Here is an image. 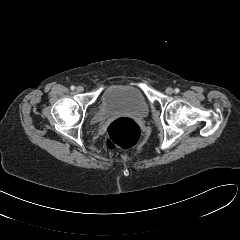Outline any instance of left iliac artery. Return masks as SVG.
Returning <instances> with one entry per match:
<instances>
[{"mask_svg": "<svg viewBox=\"0 0 240 240\" xmlns=\"http://www.w3.org/2000/svg\"><path fill=\"white\" fill-rule=\"evenodd\" d=\"M174 92H175L176 94H178V93L180 92V90H179L178 88H176V89L174 90Z\"/></svg>", "mask_w": 240, "mask_h": 240, "instance_id": "1", "label": "left iliac artery"}]
</instances>
